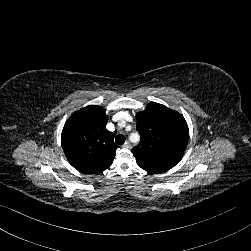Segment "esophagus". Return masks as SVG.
I'll use <instances>...</instances> for the list:
<instances>
[{
  "label": "esophagus",
  "instance_id": "esophagus-1",
  "mask_svg": "<svg viewBox=\"0 0 251 251\" xmlns=\"http://www.w3.org/2000/svg\"><path fill=\"white\" fill-rule=\"evenodd\" d=\"M124 148H131V144L129 141H126L123 145Z\"/></svg>",
  "mask_w": 251,
  "mask_h": 251
}]
</instances>
